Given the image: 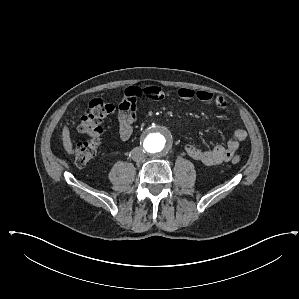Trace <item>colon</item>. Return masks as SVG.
Here are the masks:
<instances>
[{"label":"colon","instance_id":"1","mask_svg":"<svg viewBox=\"0 0 299 299\" xmlns=\"http://www.w3.org/2000/svg\"><path fill=\"white\" fill-rule=\"evenodd\" d=\"M113 111V107L106 102L95 99L89 104L88 111L80 118L78 130L86 137V140L80 143L74 150V160L78 167L89 164L97 155L101 145L102 120ZM240 156L234 155L231 162L239 163Z\"/></svg>","mask_w":299,"mask_h":299}]
</instances>
